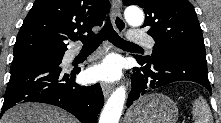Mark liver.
Returning a JSON list of instances; mask_svg holds the SVG:
<instances>
[{
  "label": "liver",
  "mask_w": 221,
  "mask_h": 123,
  "mask_svg": "<svg viewBox=\"0 0 221 123\" xmlns=\"http://www.w3.org/2000/svg\"><path fill=\"white\" fill-rule=\"evenodd\" d=\"M0 123H77V120L55 106L23 103L6 111Z\"/></svg>",
  "instance_id": "liver-1"
}]
</instances>
